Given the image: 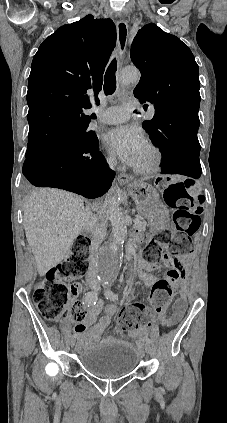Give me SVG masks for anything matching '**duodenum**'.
Instances as JSON below:
<instances>
[{"label": "duodenum", "mask_w": 227, "mask_h": 423, "mask_svg": "<svg viewBox=\"0 0 227 423\" xmlns=\"http://www.w3.org/2000/svg\"><path fill=\"white\" fill-rule=\"evenodd\" d=\"M127 251L131 252L132 257H135V256H136V254H137V250L135 249V247H134L133 245H130V246L127 248Z\"/></svg>", "instance_id": "410a0bca"}]
</instances>
